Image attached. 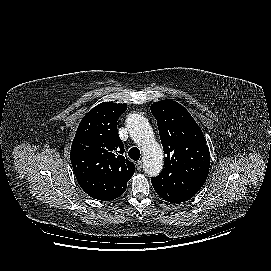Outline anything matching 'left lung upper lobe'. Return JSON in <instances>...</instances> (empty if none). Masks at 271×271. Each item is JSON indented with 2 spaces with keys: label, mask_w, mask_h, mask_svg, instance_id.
Masks as SVG:
<instances>
[{
  "label": "left lung upper lobe",
  "mask_w": 271,
  "mask_h": 271,
  "mask_svg": "<svg viewBox=\"0 0 271 271\" xmlns=\"http://www.w3.org/2000/svg\"><path fill=\"white\" fill-rule=\"evenodd\" d=\"M157 119L160 139L166 154L164 169L151 179H161L177 173L202 186L207 179L210 152L204 134L190 113L173 100H161L150 107Z\"/></svg>",
  "instance_id": "1"
}]
</instances>
